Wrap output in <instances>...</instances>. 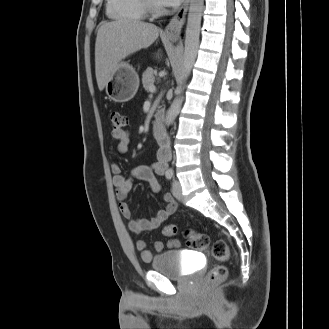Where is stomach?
<instances>
[{
	"label": "stomach",
	"mask_w": 329,
	"mask_h": 329,
	"mask_svg": "<svg viewBox=\"0 0 329 329\" xmlns=\"http://www.w3.org/2000/svg\"><path fill=\"white\" fill-rule=\"evenodd\" d=\"M139 87V77L135 69L126 62L118 64L114 74L105 85L109 99L117 103L131 100Z\"/></svg>",
	"instance_id": "obj_1"
}]
</instances>
